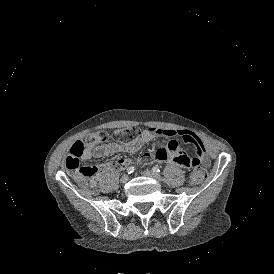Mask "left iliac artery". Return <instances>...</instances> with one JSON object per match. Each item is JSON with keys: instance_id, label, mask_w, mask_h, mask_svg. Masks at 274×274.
<instances>
[{"instance_id": "1", "label": "left iliac artery", "mask_w": 274, "mask_h": 274, "mask_svg": "<svg viewBox=\"0 0 274 274\" xmlns=\"http://www.w3.org/2000/svg\"><path fill=\"white\" fill-rule=\"evenodd\" d=\"M152 170L153 172H156V173L160 172V169L157 166L153 167Z\"/></svg>"}]
</instances>
